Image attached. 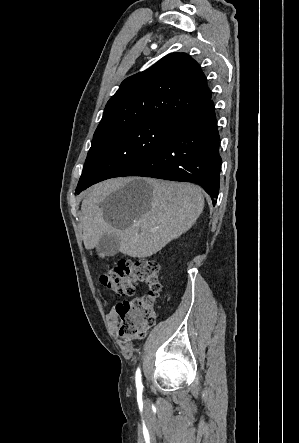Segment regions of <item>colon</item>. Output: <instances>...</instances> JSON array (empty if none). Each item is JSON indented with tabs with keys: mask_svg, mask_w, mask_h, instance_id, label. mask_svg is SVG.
<instances>
[{
	"mask_svg": "<svg viewBox=\"0 0 299 443\" xmlns=\"http://www.w3.org/2000/svg\"><path fill=\"white\" fill-rule=\"evenodd\" d=\"M103 285L118 295H133L137 283H145L149 292L116 305L119 318V337L124 343L143 338L155 325L157 313L153 307L154 298L161 291L160 268L156 261L121 260L100 277Z\"/></svg>",
	"mask_w": 299,
	"mask_h": 443,
	"instance_id": "5ec220e1",
	"label": "colon"
}]
</instances>
